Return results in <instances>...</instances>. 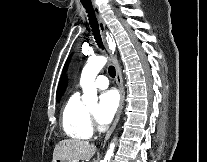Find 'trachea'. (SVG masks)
I'll list each match as a JSON object with an SVG mask.
<instances>
[{"instance_id": "1", "label": "trachea", "mask_w": 207, "mask_h": 162, "mask_svg": "<svg viewBox=\"0 0 207 162\" xmlns=\"http://www.w3.org/2000/svg\"><path fill=\"white\" fill-rule=\"evenodd\" d=\"M81 3L83 5V7L85 8L86 13L88 14L89 23L91 25L92 32H93L94 38L97 42V45L101 49H103L104 46H103V43H102L99 26H98L97 19H96L95 14H94V10H93L91 1L90 0H81ZM108 72H109V75L112 78L115 77L116 72H115L114 66H110L109 69H108Z\"/></svg>"}]
</instances>
